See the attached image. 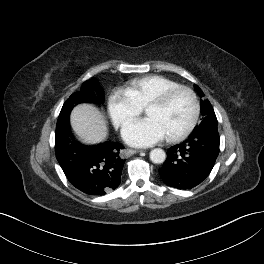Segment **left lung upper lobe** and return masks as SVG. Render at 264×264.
<instances>
[{
    "label": "left lung upper lobe",
    "instance_id": "5c2ea615",
    "mask_svg": "<svg viewBox=\"0 0 264 264\" xmlns=\"http://www.w3.org/2000/svg\"><path fill=\"white\" fill-rule=\"evenodd\" d=\"M196 89H197L199 96L202 98L204 96V93L202 92V90L198 86H196ZM201 114L204 117L203 121L200 123L199 126H196L195 128L206 126V125L217 126L216 115L214 113L212 105L210 104V102L208 100L201 101Z\"/></svg>",
    "mask_w": 264,
    "mask_h": 264
}]
</instances>
